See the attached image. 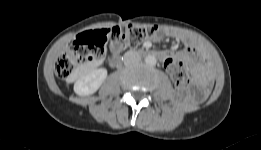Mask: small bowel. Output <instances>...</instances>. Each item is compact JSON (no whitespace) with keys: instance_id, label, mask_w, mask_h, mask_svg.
Listing matches in <instances>:
<instances>
[{"instance_id":"1","label":"small bowel","mask_w":261,"mask_h":150,"mask_svg":"<svg viewBox=\"0 0 261 150\" xmlns=\"http://www.w3.org/2000/svg\"><path fill=\"white\" fill-rule=\"evenodd\" d=\"M164 34L182 42L184 45V48L181 50H164L157 52L158 58L164 62V66L167 71V62L169 60H175L177 58L187 61L195 68L200 69V65L198 64L194 56L195 52L199 50V44L194 37L176 30H167L164 32ZM162 36V34H155L152 39L154 41H160L162 39ZM149 45V42L146 43L147 47Z\"/></svg>"}]
</instances>
